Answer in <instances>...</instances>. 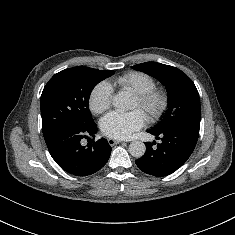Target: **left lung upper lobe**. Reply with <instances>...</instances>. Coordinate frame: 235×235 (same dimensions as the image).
Segmentation results:
<instances>
[{
	"instance_id": "left-lung-upper-lobe-1",
	"label": "left lung upper lobe",
	"mask_w": 235,
	"mask_h": 235,
	"mask_svg": "<svg viewBox=\"0 0 235 235\" xmlns=\"http://www.w3.org/2000/svg\"><path fill=\"white\" fill-rule=\"evenodd\" d=\"M133 68L158 79L166 86L168 92L169 109L164 118L151 130L163 132L183 126L200 128L199 94L192 80L184 72L157 62H145Z\"/></svg>"
}]
</instances>
